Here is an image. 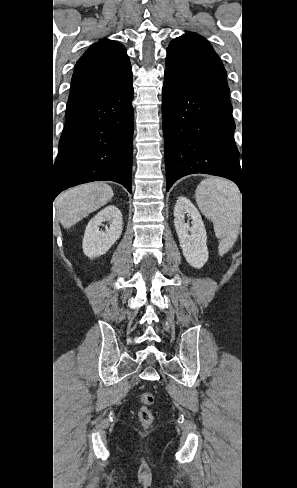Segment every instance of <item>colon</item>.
Segmentation results:
<instances>
[{
  "instance_id": "obj_1",
  "label": "colon",
  "mask_w": 297,
  "mask_h": 488,
  "mask_svg": "<svg viewBox=\"0 0 297 488\" xmlns=\"http://www.w3.org/2000/svg\"><path fill=\"white\" fill-rule=\"evenodd\" d=\"M140 409L138 411V417L142 426H149L154 419L151 406L154 403V396L150 392H144L140 395Z\"/></svg>"
}]
</instances>
